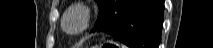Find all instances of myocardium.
<instances>
[{
  "label": "myocardium",
  "mask_w": 213,
  "mask_h": 48,
  "mask_svg": "<svg viewBox=\"0 0 213 48\" xmlns=\"http://www.w3.org/2000/svg\"><path fill=\"white\" fill-rule=\"evenodd\" d=\"M78 13L80 15L81 18V27L76 30V31H69L66 28V19L67 17L72 14V13ZM90 21H91V10L88 6L78 3V4H74L72 6H70L68 9H66V11L63 14L62 17V22H61V26L62 29L69 35H78L83 33L85 30H87V28L90 25Z\"/></svg>",
  "instance_id": "myocardium-1"
}]
</instances>
